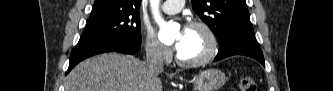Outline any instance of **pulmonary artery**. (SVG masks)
Segmentation results:
<instances>
[{
    "mask_svg": "<svg viewBox=\"0 0 333 91\" xmlns=\"http://www.w3.org/2000/svg\"><path fill=\"white\" fill-rule=\"evenodd\" d=\"M183 4V1L168 0L163 3L162 9L167 14H175L182 9Z\"/></svg>",
    "mask_w": 333,
    "mask_h": 91,
    "instance_id": "e3ab8cb5",
    "label": "pulmonary artery"
}]
</instances>
